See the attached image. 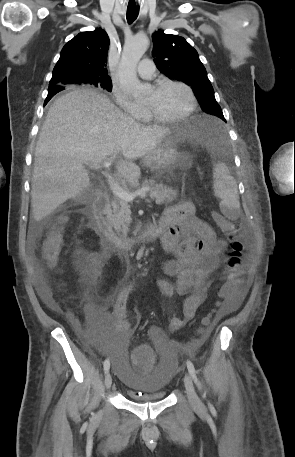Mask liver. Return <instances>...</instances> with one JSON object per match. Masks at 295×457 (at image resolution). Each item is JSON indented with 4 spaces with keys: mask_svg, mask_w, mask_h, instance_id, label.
Returning a JSON list of instances; mask_svg holds the SVG:
<instances>
[{
    "mask_svg": "<svg viewBox=\"0 0 295 457\" xmlns=\"http://www.w3.org/2000/svg\"><path fill=\"white\" fill-rule=\"evenodd\" d=\"M171 131L136 122L93 90H74L59 97L48 111L35 149L34 220H42L89 188L85 166L99 169L114 154L123 156L116 161L118 174L136 183L141 172L134 161L152 152Z\"/></svg>",
    "mask_w": 295,
    "mask_h": 457,
    "instance_id": "obj_1",
    "label": "liver"
}]
</instances>
